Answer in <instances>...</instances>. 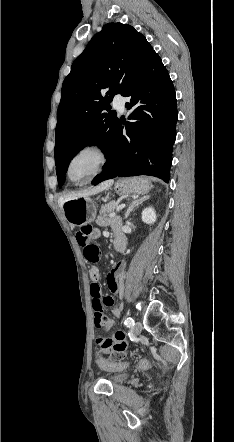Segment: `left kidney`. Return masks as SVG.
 <instances>
[{"instance_id": "obj_1", "label": "left kidney", "mask_w": 234, "mask_h": 442, "mask_svg": "<svg viewBox=\"0 0 234 442\" xmlns=\"http://www.w3.org/2000/svg\"><path fill=\"white\" fill-rule=\"evenodd\" d=\"M156 213L152 207L145 208L142 211V221L147 224H154L156 222Z\"/></svg>"}]
</instances>
